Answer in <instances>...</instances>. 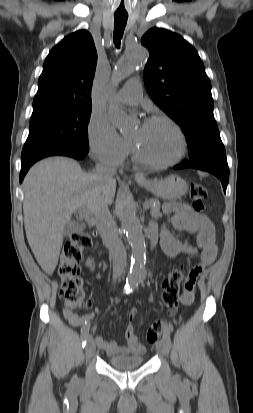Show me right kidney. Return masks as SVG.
<instances>
[{"label":"right kidney","instance_id":"right-kidney-1","mask_svg":"<svg viewBox=\"0 0 253 413\" xmlns=\"http://www.w3.org/2000/svg\"><path fill=\"white\" fill-rule=\"evenodd\" d=\"M86 266H88V267L91 269V271H93L94 268H95L93 259H90V258H89V259L87 260V262H86Z\"/></svg>","mask_w":253,"mask_h":413}]
</instances>
